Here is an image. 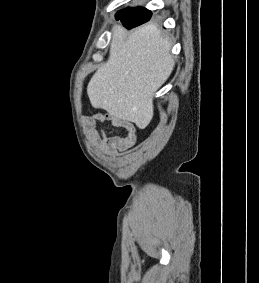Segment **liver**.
<instances>
[{
	"label": "liver",
	"instance_id": "1",
	"mask_svg": "<svg viewBox=\"0 0 259 283\" xmlns=\"http://www.w3.org/2000/svg\"><path fill=\"white\" fill-rule=\"evenodd\" d=\"M171 43L155 24H146L128 37L113 27L110 55L93 75L87 94L94 108L145 129L153 118L154 93L172 73Z\"/></svg>",
	"mask_w": 259,
	"mask_h": 283
}]
</instances>
